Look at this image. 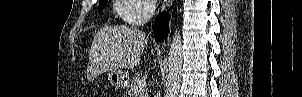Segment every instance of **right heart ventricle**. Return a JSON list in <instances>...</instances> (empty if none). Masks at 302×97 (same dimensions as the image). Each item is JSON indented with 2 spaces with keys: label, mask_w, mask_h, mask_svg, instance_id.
I'll list each match as a JSON object with an SVG mask.
<instances>
[{
  "label": "right heart ventricle",
  "mask_w": 302,
  "mask_h": 97,
  "mask_svg": "<svg viewBox=\"0 0 302 97\" xmlns=\"http://www.w3.org/2000/svg\"><path fill=\"white\" fill-rule=\"evenodd\" d=\"M134 10V5L130 0H116L114 12L123 21L128 22Z\"/></svg>",
  "instance_id": "right-heart-ventricle-1"
}]
</instances>
